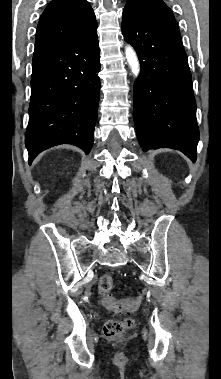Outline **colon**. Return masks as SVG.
<instances>
[{
	"label": "colon",
	"instance_id": "colon-1",
	"mask_svg": "<svg viewBox=\"0 0 221 379\" xmlns=\"http://www.w3.org/2000/svg\"><path fill=\"white\" fill-rule=\"evenodd\" d=\"M113 287V276L110 273L101 276L98 284L100 302L112 315L126 314L123 320H109L103 326V333L106 338L116 339L122 337L129 329L132 328L134 321L130 313L137 309L139 305L138 297H128L116 299L110 291Z\"/></svg>",
	"mask_w": 221,
	"mask_h": 379
}]
</instances>
